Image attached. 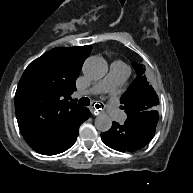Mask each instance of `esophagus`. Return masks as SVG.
I'll return each mask as SVG.
<instances>
[{
	"label": "esophagus",
	"mask_w": 193,
	"mask_h": 193,
	"mask_svg": "<svg viewBox=\"0 0 193 193\" xmlns=\"http://www.w3.org/2000/svg\"><path fill=\"white\" fill-rule=\"evenodd\" d=\"M95 105H96V104H95ZM91 109H92V114H93V115H96V116H97V115L100 114V111H99L98 109H96L95 106H94V107H91Z\"/></svg>",
	"instance_id": "34e87169"
}]
</instances>
